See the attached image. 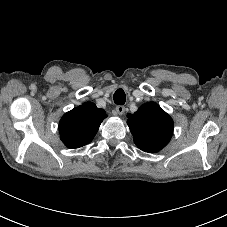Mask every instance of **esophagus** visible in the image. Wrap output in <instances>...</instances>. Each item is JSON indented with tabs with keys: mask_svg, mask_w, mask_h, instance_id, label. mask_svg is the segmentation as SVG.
<instances>
[{
	"mask_svg": "<svg viewBox=\"0 0 227 227\" xmlns=\"http://www.w3.org/2000/svg\"><path fill=\"white\" fill-rule=\"evenodd\" d=\"M115 110L118 115H123L125 112V107L122 105H118L116 106Z\"/></svg>",
	"mask_w": 227,
	"mask_h": 227,
	"instance_id": "obj_1",
	"label": "esophagus"
}]
</instances>
